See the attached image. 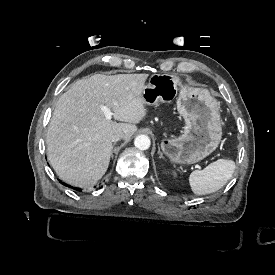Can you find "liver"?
I'll return each instance as SVG.
<instances>
[{"label": "liver", "mask_w": 275, "mask_h": 275, "mask_svg": "<svg viewBox=\"0 0 275 275\" xmlns=\"http://www.w3.org/2000/svg\"><path fill=\"white\" fill-rule=\"evenodd\" d=\"M148 74L105 76L76 81L57 101L46 144L51 166L59 177L78 187L95 185L106 173L112 134L130 139L148 114L142 95ZM107 106L117 123L105 117Z\"/></svg>", "instance_id": "1"}]
</instances>
